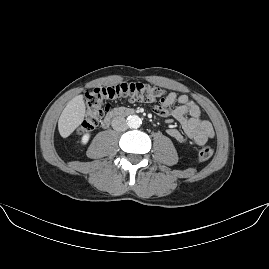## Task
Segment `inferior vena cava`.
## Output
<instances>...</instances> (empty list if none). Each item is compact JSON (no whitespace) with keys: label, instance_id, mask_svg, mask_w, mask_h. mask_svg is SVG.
<instances>
[{"label":"inferior vena cava","instance_id":"obj_1","mask_svg":"<svg viewBox=\"0 0 269 269\" xmlns=\"http://www.w3.org/2000/svg\"><path fill=\"white\" fill-rule=\"evenodd\" d=\"M112 128L116 131H125L128 128L127 121L124 117L117 116L111 122Z\"/></svg>","mask_w":269,"mask_h":269}]
</instances>
